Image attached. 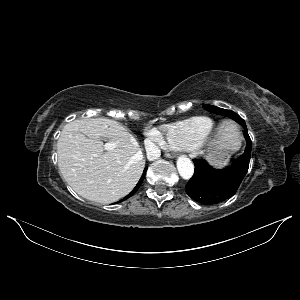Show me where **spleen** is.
<instances>
[{"mask_svg":"<svg viewBox=\"0 0 300 300\" xmlns=\"http://www.w3.org/2000/svg\"><path fill=\"white\" fill-rule=\"evenodd\" d=\"M229 126L232 129V132L237 136V132L235 131V129L231 125H229Z\"/></svg>","mask_w":300,"mask_h":300,"instance_id":"spleen-1","label":"spleen"}]
</instances>
